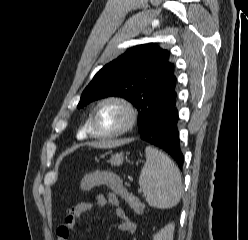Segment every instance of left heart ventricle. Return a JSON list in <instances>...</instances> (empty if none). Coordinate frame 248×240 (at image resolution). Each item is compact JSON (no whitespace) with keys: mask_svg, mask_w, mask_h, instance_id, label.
<instances>
[{"mask_svg":"<svg viewBox=\"0 0 248 240\" xmlns=\"http://www.w3.org/2000/svg\"><path fill=\"white\" fill-rule=\"evenodd\" d=\"M126 121V114L117 105L102 106L95 117V129L98 133H111L119 129Z\"/></svg>","mask_w":248,"mask_h":240,"instance_id":"obj_1","label":"left heart ventricle"}]
</instances>
